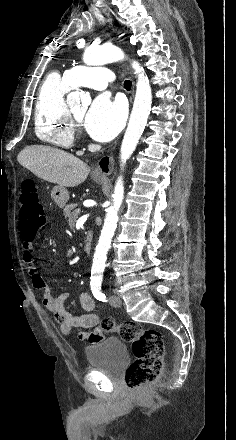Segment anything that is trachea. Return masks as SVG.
I'll return each instance as SVG.
<instances>
[{
  "label": "trachea",
  "instance_id": "trachea-1",
  "mask_svg": "<svg viewBox=\"0 0 236 440\" xmlns=\"http://www.w3.org/2000/svg\"><path fill=\"white\" fill-rule=\"evenodd\" d=\"M131 86H132V82H131L130 80H126V81L124 82V88H125V89L130 90V89H131Z\"/></svg>",
  "mask_w": 236,
  "mask_h": 440
}]
</instances>
